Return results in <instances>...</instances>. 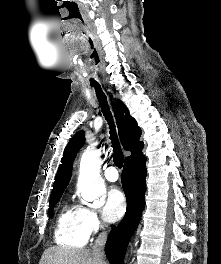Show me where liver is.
Instances as JSON below:
<instances>
[{
  "instance_id": "obj_1",
  "label": "liver",
  "mask_w": 221,
  "mask_h": 264,
  "mask_svg": "<svg viewBox=\"0 0 221 264\" xmlns=\"http://www.w3.org/2000/svg\"><path fill=\"white\" fill-rule=\"evenodd\" d=\"M39 264H108L89 249L50 247L46 249Z\"/></svg>"
}]
</instances>
